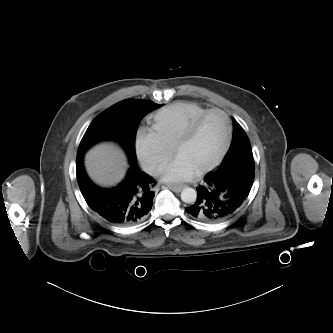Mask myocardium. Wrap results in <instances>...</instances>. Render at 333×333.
Returning <instances> with one entry per match:
<instances>
[{
    "label": "myocardium",
    "instance_id": "obj_1",
    "mask_svg": "<svg viewBox=\"0 0 333 333\" xmlns=\"http://www.w3.org/2000/svg\"><path fill=\"white\" fill-rule=\"evenodd\" d=\"M220 114L221 116H223L226 125H227V132H226V137L224 140V143L218 153V155L215 157V159L210 162L208 165L200 168L199 170L196 171L197 175H202L205 174L209 171H211L213 168H215L223 159V157L225 156L231 140H232V136H233V124H232V120L230 118V116L223 110L218 109V108H213V109H209L207 111H205L203 114L199 115L197 118H195L181 133L180 135L176 138V140L174 141L172 147L173 150L175 151L176 147L180 144H182L185 141H188L196 132L198 126L202 123V121L208 117L211 114Z\"/></svg>",
    "mask_w": 333,
    "mask_h": 333
}]
</instances>
